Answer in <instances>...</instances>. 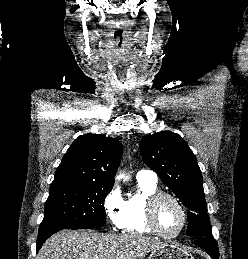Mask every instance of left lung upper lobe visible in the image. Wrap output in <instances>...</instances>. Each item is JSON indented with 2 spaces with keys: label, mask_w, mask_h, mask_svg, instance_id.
<instances>
[{
  "label": "left lung upper lobe",
  "mask_w": 248,
  "mask_h": 259,
  "mask_svg": "<svg viewBox=\"0 0 248 259\" xmlns=\"http://www.w3.org/2000/svg\"><path fill=\"white\" fill-rule=\"evenodd\" d=\"M140 152L147 166L188 208V236L212 237L202 175L197 159L180 135L171 131L145 136Z\"/></svg>",
  "instance_id": "left-lung-upper-lobe-1"
}]
</instances>
